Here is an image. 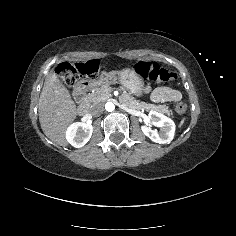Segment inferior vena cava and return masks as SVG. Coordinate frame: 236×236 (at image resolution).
Returning a JSON list of instances; mask_svg holds the SVG:
<instances>
[{
    "label": "inferior vena cava",
    "mask_w": 236,
    "mask_h": 236,
    "mask_svg": "<svg viewBox=\"0 0 236 236\" xmlns=\"http://www.w3.org/2000/svg\"><path fill=\"white\" fill-rule=\"evenodd\" d=\"M104 110V106L102 104H94L90 111H91V114L96 116V115H99L100 113H102Z\"/></svg>",
    "instance_id": "obj_1"
}]
</instances>
